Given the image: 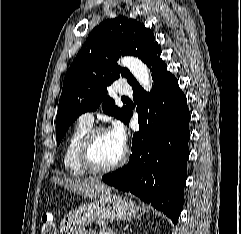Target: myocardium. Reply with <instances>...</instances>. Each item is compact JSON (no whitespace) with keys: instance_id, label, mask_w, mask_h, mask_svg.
I'll list each match as a JSON object with an SVG mask.
<instances>
[{"instance_id":"myocardium-1","label":"myocardium","mask_w":241,"mask_h":234,"mask_svg":"<svg viewBox=\"0 0 241 234\" xmlns=\"http://www.w3.org/2000/svg\"><path fill=\"white\" fill-rule=\"evenodd\" d=\"M103 132H108L105 127H95L88 131L84 136L80 149H79V159L82 166L90 173L94 174H104L111 172L115 169L121 167L128 158V150L124 147L121 157L111 165L100 166L98 165L92 155L93 146L97 136Z\"/></svg>"}]
</instances>
